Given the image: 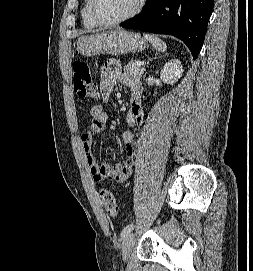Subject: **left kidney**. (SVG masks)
I'll use <instances>...</instances> for the list:
<instances>
[{
    "label": "left kidney",
    "instance_id": "1",
    "mask_svg": "<svg viewBox=\"0 0 253 271\" xmlns=\"http://www.w3.org/2000/svg\"><path fill=\"white\" fill-rule=\"evenodd\" d=\"M183 71L180 60L172 59L164 65L160 73V78L164 83L174 84L182 77Z\"/></svg>",
    "mask_w": 253,
    "mask_h": 271
}]
</instances>
